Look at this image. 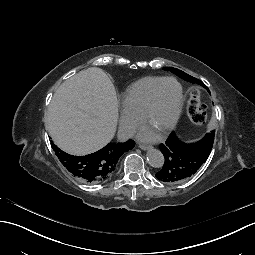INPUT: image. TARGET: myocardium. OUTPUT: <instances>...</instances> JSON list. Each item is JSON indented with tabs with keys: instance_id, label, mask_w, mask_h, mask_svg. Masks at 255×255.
Instances as JSON below:
<instances>
[{
	"instance_id": "1",
	"label": "myocardium",
	"mask_w": 255,
	"mask_h": 255,
	"mask_svg": "<svg viewBox=\"0 0 255 255\" xmlns=\"http://www.w3.org/2000/svg\"><path fill=\"white\" fill-rule=\"evenodd\" d=\"M168 82H173L178 86L179 95H178V102H177L175 113H174L171 121L169 122V124L166 126L163 134L160 135L161 138L168 137L169 134L175 129L176 125L178 124V121L180 119L182 109H183V104H184L183 88H182V85L175 78H165L154 88V90L152 91V93L150 95L149 102L139 119L140 125H143L145 120L148 117H150V115L152 114V112L155 108L156 99H157L160 89L162 88V86L164 84H166Z\"/></svg>"
}]
</instances>
